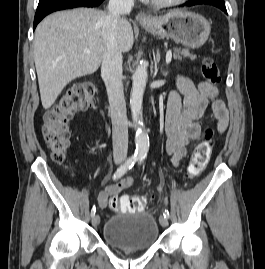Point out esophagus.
Returning <instances> with one entry per match:
<instances>
[{
  "mask_svg": "<svg viewBox=\"0 0 265 269\" xmlns=\"http://www.w3.org/2000/svg\"><path fill=\"white\" fill-rule=\"evenodd\" d=\"M136 20L139 22V23H150L153 21L152 17L146 13H138L136 15Z\"/></svg>",
  "mask_w": 265,
  "mask_h": 269,
  "instance_id": "esophagus-1",
  "label": "esophagus"
}]
</instances>
